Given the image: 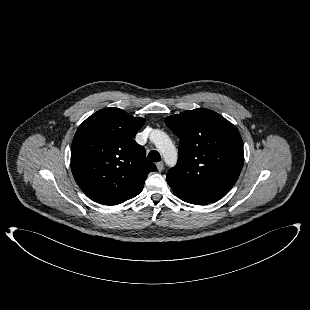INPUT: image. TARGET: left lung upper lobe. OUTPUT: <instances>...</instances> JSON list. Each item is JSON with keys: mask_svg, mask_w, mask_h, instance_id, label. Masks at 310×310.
I'll use <instances>...</instances> for the list:
<instances>
[{"mask_svg": "<svg viewBox=\"0 0 310 310\" xmlns=\"http://www.w3.org/2000/svg\"><path fill=\"white\" fill-rule=\"evenodd\" d=\"M165 124L180 139L177 164L166 177L174 193L210 203L224 197L244 163L237 128L218 113L200 108L169 116Z\"/></svg>", "mask_w": 310, "mask_h": 310, "instance_id": "5c2ea615", "label": "left lung upper lobe"}]
</instances>
